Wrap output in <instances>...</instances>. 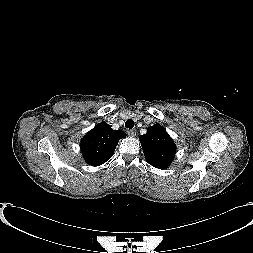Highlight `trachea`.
Returning a JSON list of instances; mask_svg holds the SVG:
<instances>
[{
	"mask_svg": "<svg viewBox=\"0 0 253 253\" xmlns=\"http://www.w3.org/2000/svg\"><path fill=\"white\" fill-rule=\"evenodd\" d=\"M125 127L129 128V129H132L134 127V121L132 119H128L125 122Z\"/></svg>",
	"mask_w": 253,
	"mask_h": 253,
	"instance_id": "1",
	"label": "trachea"
}]
</instances>
